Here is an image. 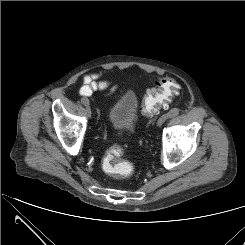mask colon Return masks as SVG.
<instances>
[{
	"instance_id": "1",
	"label": "colon",
	"mask_w": 245,
	"mask_h": 245,
	"mask_svg": "<svg viewBox=\"0 0 245 245\" xmlns=\"http://www.w3.org/2000/svg\"><path fill=\"white\" fill-rule=\"evenodd\" d=\"M177 93V84L171 78H162L155 86L149 89L144 97L142 113L153 117L161 107H166ZM122 149L119 147L111 149L102 160L101 167L107 175L125 178L133 171L130 162L122 161Z\"/></svg>"
}]
</instances>
